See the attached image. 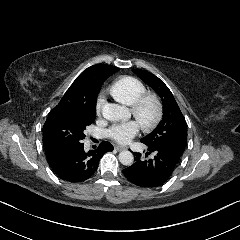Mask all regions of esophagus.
<instances>
[{
	"label": "esophagus",
	"mask_w": 240,
	"mask_h": 240,
	"mask_svg": "<svg viewBox=\"0 0 240 240\" xmlns=\"http://www.w3.org/2000/svg\"><path fill=\"white\" fill-rule=\"evenodd\" d=\"M115 149H116L117 151H122V150H127V147L116 145V146H115Z\"/></svg>",
	"instance_id": "34e87169"
}]
</instances>
